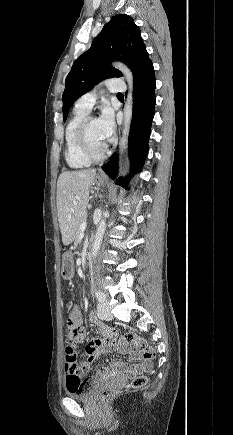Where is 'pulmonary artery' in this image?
<instances>
[{
    "instance_id": "obj_1",
    "label": "pulmonary artery",
    "mask_w": 233,
    "mask_h": 435,
    "mask_svg": "<svg viewBox=\"0 0 233 435\" xmlns=\"http://www.w3.org/2000/svg\"><path fill=\"white\" fill-rule=\"evenodd\" d=\"M110 92L122 94L125 91L124 78H113L106 82ZM96 101V91H90L82 95L76 101V107L89 113Z\"/></svg>"
}]
</instances>
